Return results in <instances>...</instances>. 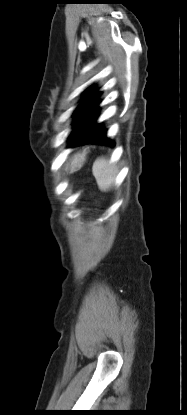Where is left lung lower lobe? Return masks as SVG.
<instances>
[{
	"instance_id": "0a47b994",
	"label": "left lung lower lobe",
	"mask_w": 187,
	"mask_h": 415,
	"mask_svg": "<svg viewBox=\"0 0 187 415\" xmlns=\"http://www.w3.org/2000/svg\"><path fill=\"white\" fill-rule=\"evenodd\" d=\"M100 94L94 90L86 96L74 121L75 127L70 135L68 147L88 143L114 146V142L106 137L103 124L96 123L100 111Z\"/></svg>"
}]
</instances>
